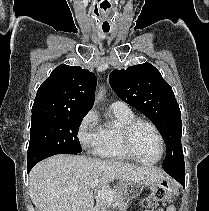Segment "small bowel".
<instances>
[{
	"label": "small bowel",
	"instance_id": "obj_1",
	"mask_svg": "<svg viewBox=\"0 0 209 211\" xmlns=\"http://www.w3.org/2000/svg\"><path fill=\"white\" fill-rule=\"evenodd\" d=\"M147 211H153V210H147ZM158 211H173V209L171 207H167L165 209H161V210H158Z\"/></svg>",
	"mask_w": 209,
	"mask_h": 211
}]
</instances>
